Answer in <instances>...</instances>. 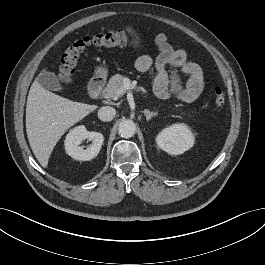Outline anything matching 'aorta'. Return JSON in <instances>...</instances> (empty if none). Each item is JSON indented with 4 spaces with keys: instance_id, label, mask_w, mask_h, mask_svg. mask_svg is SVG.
<instances>
[{
    "instance_id": "1",
    "label": "aorta",
    "mask_w": 265,
    "mask_h": 265,
    "mask_svg": "<svg viewBox=\"0 0 265 265\" xmlns=\"http://www.w3.org/2000/svg\"><path fill=\"white\" fill-rule=\"evenodd\" d=\"M136 126L132 120H123L119 127L118 132L123 138H130L135 134Z\"/></svg>"
}]
</instances>
